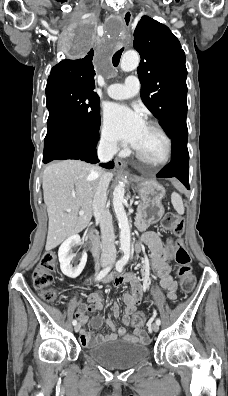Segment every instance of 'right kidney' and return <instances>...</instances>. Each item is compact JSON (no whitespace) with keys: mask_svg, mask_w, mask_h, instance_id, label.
Masks as SVG:
<instances>
[{"mask_svg":"<svg viewBox=\"0 0 228 396\" xmlns=\"http://www.w3.org/2000/svg\"><path fill=\"white\" fill-rule=\"evenodd\" d=\"M80 241V236L75 234L67 238L59 247L58 257L60 262V268L63 274L69 278L78 277L83 271L87 262V253L85 252L78 266L72 267L71 265V261L74 257L71 252V248L75 245H79Z\"/></svg>","mask_w":228,"mask_h":396,"instance_id":"right-kidney-1","label":"right kidney"}]
</instances>
